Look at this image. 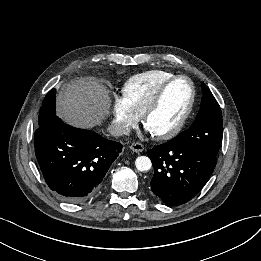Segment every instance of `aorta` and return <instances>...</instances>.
<instances>
[{"mask_svg":"<svg viewBox=\"0 0 261 261\" xmlns=\"http://www.w3.org/2000/svg\"><path fill=\"white\" fill-rule=\"evenodd\" d=\"M135 166L139 171L144 172V171L150 170L152 163H151V160L148 157L139 156L135 160Z\"/></svg>","mask_w":261,"mask_h":261,"instance_id":"obj_1","label":"aorta"}]
</instances>
